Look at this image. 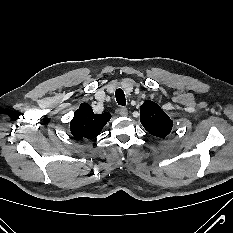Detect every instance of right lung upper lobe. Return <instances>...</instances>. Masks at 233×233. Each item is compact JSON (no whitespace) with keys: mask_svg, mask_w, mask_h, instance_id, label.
<instances>
[{"mask_svg":"<svg viewBox=\"0 0 233 233\" xmlns=\"http://www.w3.org/2000/svg\"><path fill=\"white\" fill-rule=\"evenodd\" d=\"M110 118V113L95 114L87 103H82L70 122L71 133L77 139H93Z\"/></svg>","mask_w":233,"mask_h":233,"instance_id":"right-lung-upper-lobe-1","label":"right lung upper lobe"}]
</instances>
